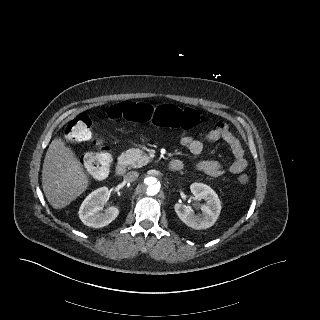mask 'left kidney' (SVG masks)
<instances>
[{
  "instance_id": "5707ae66",
  "label": "left kidney",
  "mask_w": 320,
  "mask_h": 320,
  "mask_svg": "<svg viewBox=\"0 0 320 320\" xmlns=\"http://www.w3.org/2000/svg\"><path fill=\"white\" fill-rule=\"evenodd\" d=\"M196 200H204L201 206L202 214L196 215L194 210L182 203H176L174 208L178 217L193 229H207L214 225L221 212V201L216 192L203 183H193L190 186Z\"/></svg>"
}]
</instances>
